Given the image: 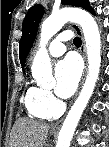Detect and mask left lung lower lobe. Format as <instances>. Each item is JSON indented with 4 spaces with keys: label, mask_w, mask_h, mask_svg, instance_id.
<instances>
[{
    "label": "left lung lower lobe",
    "mask_w": 109,
    "mask_h": 147,
    "mask_svg": "<svg viewBox=\"0 0 109 147\" xmlns=\"http://www.w3.org/2000/svg\"><path fill=\"white\" fill-rule=\"evenodd\" d=\"M90 12H91L92 14H94V15H95V12H94V10H93V9H91V10H90Z\"/></svg>",
    "instance_id": "obj_1"
}]
</instances>
